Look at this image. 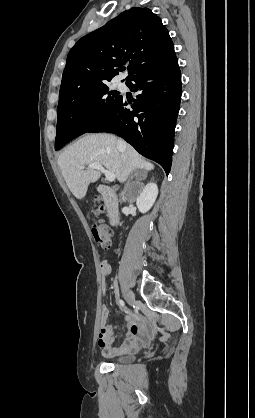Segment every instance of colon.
Masks as SVG:
<instances>
[{
  "instance_id": "obj_1",
  "label": "colon",
  "mask_w": 255,
  "mask_h": 418,
  "mask_svg": "<svg viewBox=\"0 0 255 418\" xmlns=\"http://www.w3.org/2000/svg\"><path fill=\"white\" fill-rule=\"evenodd\" d=\"M103 210V207L101 208ZM94 240L103 249H108L112 243V232L105 225L95 223L91 228Z\"/></svg>"
}]
</instances>
